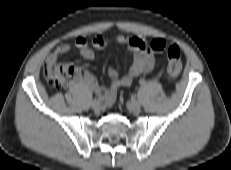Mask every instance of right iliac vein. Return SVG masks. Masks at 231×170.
Here are the masks:
<instances>
[{"label":"right iliac vein","mask_w":231,"mask_h":170,"mask_svg":"<svg viewBox=\"0 0 231 170\" xmlns=\"http://www.w3.org/2000/svg\"><path fill=\"white\" fill-rule=\"evenodd\" d=\"M101 106H102V102L98 99L93 100L91 103V107L95 111L99 110Z\"/></svg>","instance_id":"right-iliac-vein-1"}]
</instances>
